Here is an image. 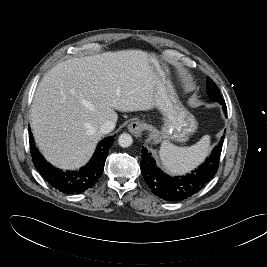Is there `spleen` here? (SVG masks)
I'll return each mask as SVG.
<instances>
[{
	"label": "spleen",
	"mask_w": 267,
	"mask_h": 267,
	"mask_svg": "<svg viewBox=\"0 0 267 267\" xmlns=\"http://www.w3.org/2000/svg\"><path fill=\"white\" fill-rule=\"evenodd\" d=\"M210 149V136H203L196 144L178 147L169 141L161 144L159 155L164 168L172 174H185L204 161Z\"/></svg>",
	"instance_id": "1"
}]
</instances>
